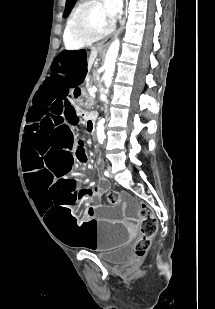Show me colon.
<instances>
[{
    "label": "colon",
    "mask_w": 215,
    "mask_h": 309,
    "mask_svg": "<svg viewBox=\"0 0 215 309\" xmlns=\"http://www.w3.org/2000/svg\"><path fill=\"white\" fill-rule=\"evenodd\" d=\"M108 203L115 205L119 201V195L116 191L107 194ZM141 229L143 236L134 243V254L137 256L145 255L150 246V240L157 230V223L149 207H144L140 211Z\"/></svg>",
    "instance_id": "obj_1"
}]
</instances>
